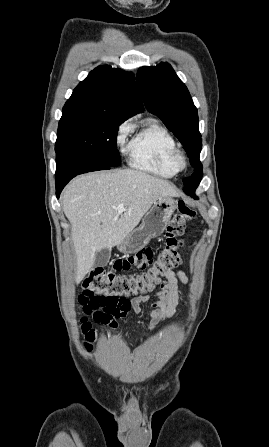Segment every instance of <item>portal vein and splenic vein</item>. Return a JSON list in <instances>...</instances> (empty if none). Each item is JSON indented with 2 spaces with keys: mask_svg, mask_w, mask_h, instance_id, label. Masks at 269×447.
<instances>
[{
  "mask_svg": "<svg viewBox=\"0 0 269 447\" xmlns=\"http://www.w3.org/2000/svg\"><path fill=\"white\" fill-rule=\"evenodd\" d=\"M118 212H125L126 208H124L123 204H120V206H117Z\"/></svg>",
  "mask_w": 269,
  "mask_h": 447,
  "instance_id": "1",
  "label": "portal vein and splenic vein"
}]
</instances>
